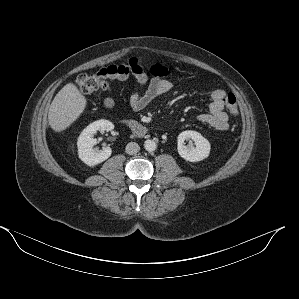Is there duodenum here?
I'll return each mask as SVG.
<instances>
[{
	"label": "duodenum",
	"mask_w": 299,
	"mask_h": 299,
	"mask_svg": "<svg viewBox=\"0 0 299 299\" xmlns=\"http://www.w3.org/2000/svg\"><path fill=\"white\" fill-rule=\"evenodd\" d=\"M122 123L126 127H128L131 130V132L136 136L144 137L148 133L147 128L139 122L129 120V119H124Z\"/></svg>",
	"instance_id": "obj_1"
}]
</instances>
